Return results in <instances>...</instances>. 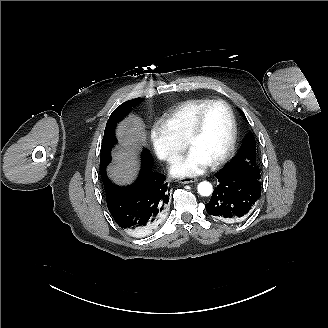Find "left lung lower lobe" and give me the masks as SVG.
Returning <instances> with one entry per match:
<instances>
[{
    "instance_id": "left-lung-lower-lobe-1",
    "label": "left lung lower lobe",
    "mask_w": 328,
    "mask_h": 328,
    "mask_svg": "<svg viewBox=\"0 0 328 328\" xmlns=\"http://www.w3.org/2000/svg\"><path fill=\"white\" fill-rule=\"evenodd\" d=\"M215 176L219 184L205 205L207 213L224 222L246 217L260 198V179L252 173L224 169Z\"/></svg>"
}]
</instances>
